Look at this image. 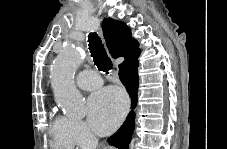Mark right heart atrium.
I'll return each mask as SVG.
<instances>
[{
  "label": "right heart atrium",
  "instance_id": "1",
  "mask_svg": "<svg viewBox=\"0 0 227 149\" xmlns=\"http://www.w3.org/2000/svg\"><path fill=\"white\" fill-rule=\"evenodd\" d=\"M68 129L74 144L80 146L94 144L95 138L84 122L68 119Z\"/></svg>",
  "mask_w": 227,
  "mask_h": 149
}]
</instances>
